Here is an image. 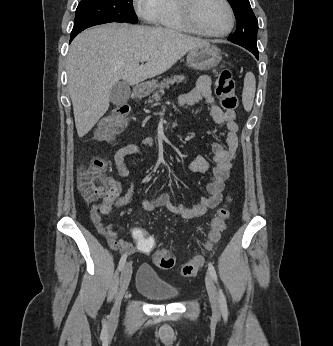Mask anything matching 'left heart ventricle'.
I'll list each match as a JSON object with an SVG mask.
<instances>
[{"label": "left heart ventricle", "mask_w": 333, "mask_h": 346, "mask_svg": "<svg viewBox=\"0 0 333 346\" xmlns=\"http://www.w3.org/2000/svg\"><path fill=\"white\" fill-rule=\"evenodd\" d=\"M195 17L200 26L211 33L225 30L229 23L227 9L221 0H198Z\"/></svg>", "instance_id": "1"}]
</instances>
